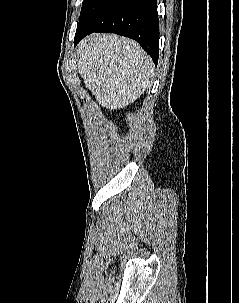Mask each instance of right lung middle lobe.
Segmentation results:
<instances>
[{"instance_id": "right-lung-middle-lobe-1", "label": "right lung middle lobe", "mask_w": 239, "mask_h": 303, "mask_svg": "<svg viewBox=\"0 0 239 303\" xmlns=\"http://www.w3.org/2000/svg\"><path fill=\"white\" fill-rule=\"evenodd\" d=\"M107 0H84L81 14H80V20L77 26V30L81 31L93 18L95 13L102 7V5Z\"/></svg>"}]
</instances>
